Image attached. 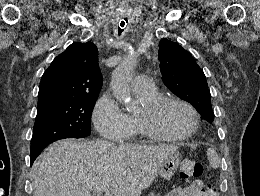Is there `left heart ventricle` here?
Listing matches in <instances>:
<instances>
[{
  "instance_id": "obj_1",
  "label": "left heart ventricle",
  "mask_w": 260,
  "mask_h": 196,
  "mask_svg": "<svg viewBox=\"0 0 260 196\" xmlns=\"http://www.w3.org/2000/svg\"><path fill=\"white\" fill-rule=\"evenodd\" d=\"M142 112L143 107L138 113ZM153 123L167 135L182 136L193 128L194 117L185 106L171 103L156 115Z\"/></svg>"
}]
</instances>
